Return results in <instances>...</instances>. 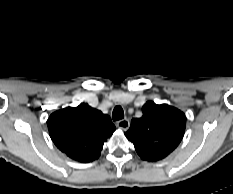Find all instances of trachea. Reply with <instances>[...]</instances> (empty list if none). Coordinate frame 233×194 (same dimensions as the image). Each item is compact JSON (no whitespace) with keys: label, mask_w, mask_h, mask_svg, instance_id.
Instances as JSON below:
<instances>
[{"label":"trachea","mask_w":233,"mask_h":194,"mask_svg":"<svg viewBox=\"0 0 233 194\" xmlns=\"http://www.w3.org/2000/svg\"><path fill=\"white\" fill-rule=\"evenodd\" d=\"M112 118L114 121L121 120L124 118V111L121 106H116L114 108Z\"/></svg>","instance_id":"3493384b"}]
</instances>
